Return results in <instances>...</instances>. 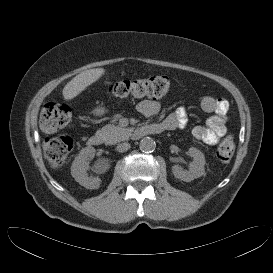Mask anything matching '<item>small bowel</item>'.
<instances>
[{
	"mask_svg": "<svg viewBox=\"0 0 273 273\" xmlns=\"http://www.w3.org/2000/svg\"><path fill=\"white\" fill-rule=\"evenodd\" d=\"M205 112L214 113L205 125L196 126L193 135L202 142L215 146L227 133V114L229 103L224 98L205 96L201 101ZM138 111L149 120H154L160 113V106L156 101L145 99L138 103ZM167 130H180L187 124V113L183 107L176 109L162 122Z\"/></svg>",
	"mask_w": 273,
	"mask_h": 273,
	"instance_id": "1",
	"label": "small bowel"
}]
</instances>
